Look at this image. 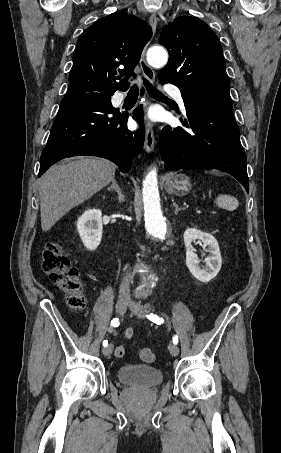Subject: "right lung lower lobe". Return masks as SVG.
<instances>
[{"label": "right lung lower lobe", "mask_w": 281, "mask_h": 453, "mask_svg": "<svg viewBox=\"0 0 281 453\" xmlns=\"http://www.w3.org/2000/svg\"><path fill=\"white\" fill-rule=\"evenodd\" d=\"M107 94L65 95L41 155L40 177L61 159L89 155L106 158L123 172H128L132 159L143 147L144 130L127 129L128 113L111 104ZM143 125L142 108L133 112Z\"/></svg>", "instance_id": "98d812e1"}]
</instances>
